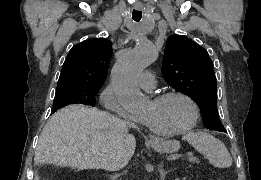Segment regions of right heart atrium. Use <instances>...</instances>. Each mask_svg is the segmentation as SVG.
I'll use <instances>...</instances> for the list:
<instances>
[{"mask_svg":"<svg viewBox=\"0 0 261 180\" xmlns=\"http://www.w3.org/2000/svg\"><path fill=\"white\" fill-rule=\"evenodd\" d=\"M101 104L104 108H111V112H117L118 117H125V120H129V125L126 127H133V122L129 114L123 109L122 105H119L118 98L114 95L112 84L106 86L101 93Z\"/></svg>","mask_w":261,"mask_h":180,"instance_id":"d8ad5b80","label":"right heart atrium"}]
</instances>
